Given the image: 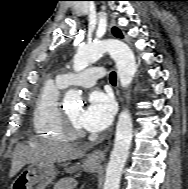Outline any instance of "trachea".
<instances>
[{"label":"trachea","instance_id":"1","mask_svg":"<svg viewBox=\"0 0 188 189\" xmlns=\"http://www.w3.org/2000/svg\"><path fill=\"white\" fill-rule=\"evenodd\" d=\"M109 79H110L111 83H116V73L115 72H111Z\"/></svg>","mask_w":188,"mask_h":189}]
</instances>
